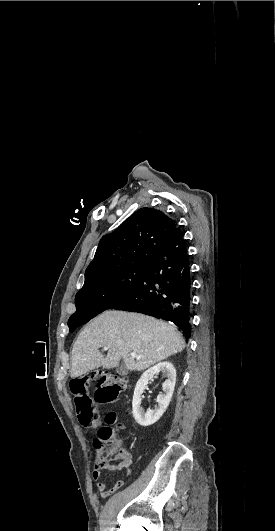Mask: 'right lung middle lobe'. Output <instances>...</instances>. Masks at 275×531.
<instances>
[{"instance_id":"dd1d6c3e","label":"right lung middle lobe","mask_w":275,"mask_h":531,"mask_svg":"<svg viewBox=\"0 0 275 531\" xmlns=\"http://www.w3.org/2000/svg\"><path fill=\"white\" fill-rule=\"evenodd\" d=\"M145 269L146 265L126 267L85 283L75 297L76 312L68 320L70 332L122 301L139 282Z\"/></svg>"}]
</instances>
